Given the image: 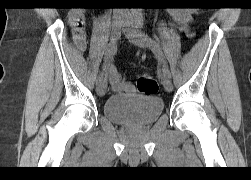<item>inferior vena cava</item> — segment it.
Masks as SVG:
<instances>
[{
  "mask_svg": "<svg viewBox=\"0 0 251 180\" xmlns=\"http://www.w3.org/2000/svg\"><path fill=\"white\" fill-rule=\"evenodd\" d=\"M117 10H120L119 8H116L115 11H114V18L116 20L118 19H121L125 16V13L123 11H117Z\"/></svg>",
  "mask_w": 251,
  "mask_h": 180,
  "instance_id": "inferior-vena-cava-1",
  "label": "inferior vena cava"
}]
</instances>
